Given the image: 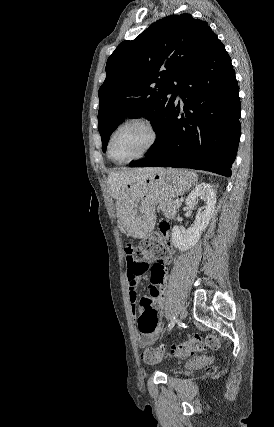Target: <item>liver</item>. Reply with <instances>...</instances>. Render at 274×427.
<instances>
[{
    "instance_id": "obj_1",
    "label": "liver",
    "mask_w": 274,
    "mask_h": 427,
    "mask_svg": "<svg viewBox=\"0 0 274 427\" xmlns=\"http://www.w3.org/2000/svg\"><path fill=\"white\" fill-rule=\"evenodd\" d=\"M158 170H162V168H138V170H131V172H111L107 178V184L112 198L126 202L131 194H135V190L131 192L127 186H132L137 178L143 180L145 176L156 174Z\"/></svg>"
}]
</instances>
